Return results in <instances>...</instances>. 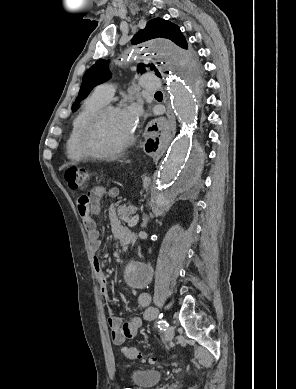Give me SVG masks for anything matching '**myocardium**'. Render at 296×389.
<instances>
[{
  "instance_id": "1",
  "label": "myocardium",
  "mask_w": 296,
  "mask_h": 389,
  "mask_svg": "<svg viewBox=\"0 0 296 389\" xmlns=\"http://www.w3.org/2000/svg\"><path fill=\"white\" fill-rule=\"evenodd\" d=\"M115 112H123V109L118 106L113 105H105L101 109H99L87 122L85 125L82 135H81V149L82 152L86 157L92 158V159H102V158H109L114 157L119 154H122L124 151H126L135 141V132L132 131L129 138L120 146L110 149V150H97L94 148L93 145V137L95 134V131L99 125V123L102 121V119L110 114Z\"/></svg>"
}]
</instances>
